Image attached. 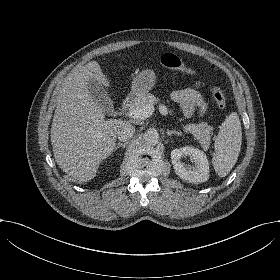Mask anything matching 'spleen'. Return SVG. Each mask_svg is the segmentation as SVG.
Masks as SVG:
<instances>
[{"label": "spleen", "instance_id": "3e777b00", "mask_svg": "<svg viewBox=\"0 0 280 280\" xmlns=\"http://www.w3.org/2000/svg\"><path fill=\"white\" fill-rule=\"evenodd\" d=\"M241 144V123L238 114L232 112L222 123L215 140L212 163L219 176L224 177L230 172L239 156Z\"/></svg>", "mask_w": 280, "mask_h": 280}]
</instances>
